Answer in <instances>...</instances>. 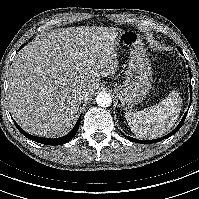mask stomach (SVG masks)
<instances>
[{
	"label": "stomach",
	"mask_w": 199,
	"mask_h": 199,
	"mask_svg": "<svg viewBox=\"0 0 199 199\" xmlns=\"http://www.w3.org/2000/svg\"><path fill=\"white\" fill-rule=\"evenodd\" d=\"M116 45L127 49L130 55L125 80L115 85V92L126 110L142 102L152 84V70L141 36L133 30H122Z\"/></svg>",
	"instance_id": "0dacf381"
}]
</instances>
